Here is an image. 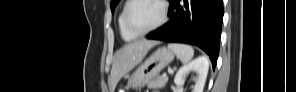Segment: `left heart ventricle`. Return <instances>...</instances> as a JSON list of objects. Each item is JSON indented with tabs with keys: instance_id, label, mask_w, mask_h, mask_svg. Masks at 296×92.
Masks as SVG:
<instances>
[{
	"instance_id": "obj_1",
	"label": "left heart ventricle",
	"mask_w": 296,
	"mask_h": 92,
	"mask_svg": "<svg viewBox=\"0 0 296 92\" xmlns=\"http://www.w3.org/2000/svg\"><path fill=\"white\" fill-rule=\"evenodd\" d=\"M160 16V5L153 0L138 1L129 12L130 24L138 31L152 27L160 19Z\"/></svg>"
}]
</instances>
